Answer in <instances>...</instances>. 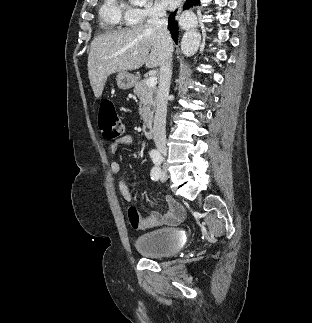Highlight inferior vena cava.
Segmentation results:
<instances>
[{
    "label": "inferior vena cava",
    "mask_w": 312,
    "mask_h": 323,
    "mask_svg": "<svg viewBox=\"0 0 312 323\" xmlns=\"http://www.w3.org/2000/svg\"><path fill=\"white\" fill-rule=\"evenodd\" d=\"M148 24H152L157 30L161 44L160 80L157 90L156 114L154 118L153 136L156 148L166 152V114L167 98L169 94L172 76V52L173 42L168 32V20L165 10H155Z\"/></svg>",
    "instance_id": "602c4592"
}]
</instances>
